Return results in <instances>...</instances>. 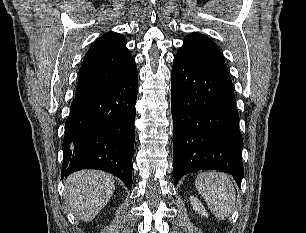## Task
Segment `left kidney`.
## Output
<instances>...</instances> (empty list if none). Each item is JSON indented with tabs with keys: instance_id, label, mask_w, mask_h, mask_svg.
Masks as SVG:
<instances>
[{
	"instance_id": "5707ae66",
	"label": "left kidney",
	"mask_w": 306,
	"mask_h": 233,
	"mask_svg": "<svg viewBox=\"0 0 306 233\" xmlns=\"http://www.w3.org/2000/svg\"><path fill=\"white\" fill-rule=\"evenodd\" d=\"M190 202L193 209L197 213L208 217L207 210L204 208L203 204L198 200V198H196L195 196H190Z\"/></svg>"
}]
</instances>
